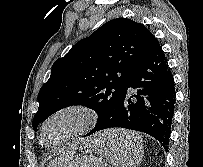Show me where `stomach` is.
I'll return each instance as SVG.
<instances>
[{
  "label": "stomach",
  "instance_id": "1",
  "mask_svg": "<svg viewBox=\"0 0 203 167\" xmlns=\"http://www.w3.org/2000/svg\"><path fill=\"white\" fill-rule=\"evenodd\" d=\"M109 131H111V130H109ZM107 132H105L103 134H99L98 137L94 138V140L92 141L94 143V146L91 147L90 151L96 150V148L99 147V144L101 142L108 141V140L101 141L102 137L108 136ZM98 141H99V144H98ZM68 167H106V165L104 164V161L102 158H98V157H95L92 155H85V156L76 158L75 160L70 162L68 164Z\"/></svg>",
  "mask_w": 203,
  "mask_h": 167
}]
</instances>
